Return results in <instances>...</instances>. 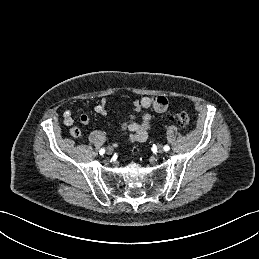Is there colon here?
Wrapping results in <instances>:
<instances>
[{"mask_svg":"<svg viewBox=\"0 0 259 259\" xmlns=\"http://www.w3.org/2000/svg\"><path fill=\"white\" fill-rule=\"evenodd\" d=\"M170 120H172L182 128H186L190 124V118L186 112H179V113L172 114L170 116ZM70 132H71V135L74 137H78L80 135L79 129L75 127L72 128Z\"/></svg>","mask_w":259,"mask_h":259,"instance_id":"5ec220e1","label":"colon"}]
</instances>
